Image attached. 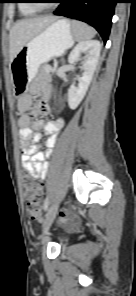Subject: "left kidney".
I'll list each match as a JSON object with an SVG mask.
<instances>
[{
  "instance_id": "5707ae66",
  "label": "left kidney",
  "mask_w": 136,
  "mask_h": 296,
  "mask_svg": "<svg viewBox=\"0 0 136 296\" xmlns=\"http://www.w3.org/2000/svg\"><path fill=\"white\" fill-rule=\"evenodd\" d=\"M101 51V44L98 40H86L79 42L70 52L68 62L73 64L79 60L81 53L86 54V60L81 69L83 74L78 78V86L72 84L68 89V105L74 110L83 100L94 71L96 69Z\"/></svg>"
}]
</instances>
